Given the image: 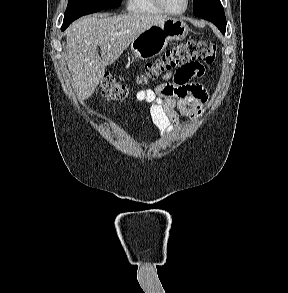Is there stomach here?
<instances>
[{
  "label": "stomach",
  "mask_w": 288,
  "mask_h": 293,
  "mask_svg": "<svg viewBox=\"0 0 288 293\" xmlns=\"http://www.w3.org/2000/svg\"><path fill=\"white\" fill-rule=\"evenodd\" d=\"M188 32L183 20L166 17L139 34L131 42V52L139 59H150L162 53L170 41L183 40Z\"/></svg>",
  "instance_id": "0dacf381"
}]
</instances>
